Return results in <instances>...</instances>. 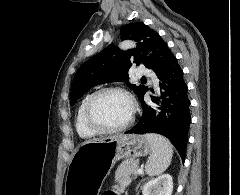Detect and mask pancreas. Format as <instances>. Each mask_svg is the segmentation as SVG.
Listing matches in <instances>:
<instances>
[{
	"instance_id": "cf45deb5",
	"label": "pancreas",
	"mask_w": 240,
	"mask_h": 195,
	"mask_svg": "<svg viewBox=\"0 0 240 195\" xmlns=\"http://www.w3.org/2000/svg\"><path fill=\"white\" fill-rule=\"evenodd\" d=\"M139 159H124L118 165L115 173V181L119 185H112L113 191H122L124 183H126L130 175H134L135 171L139 169Z\"/></svg>"
}]
</instances>
